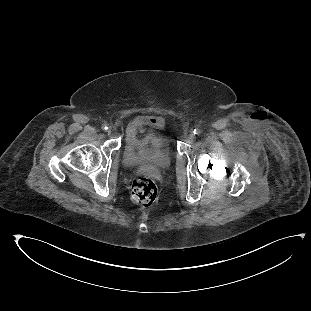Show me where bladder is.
<instances>
[{
    "label": "bladder",
    "instance_id": "obj_1",
    "mask_svg": "<svg viewBox=\"0 0 311 311\" xmlns=\"http://www.w3.org/2000/svg\"><path fill=\"white\" fill-rule=\"evenodd\" d=\"M172 155L169 133L165 129H150L141 135L134 133L123 148L124 164L134 170L164 171Z\"/></svg>",
    "mask_w": 311,
    "mask_h": 311
}]
</instances>
